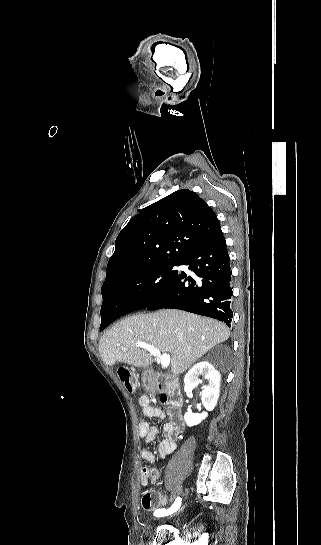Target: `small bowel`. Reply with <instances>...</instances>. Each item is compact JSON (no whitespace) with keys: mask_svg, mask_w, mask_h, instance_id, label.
Returning <instances> with one entry per match:
<instances>
[{"mask_svg":"<svg viewBox=\"0 0 321 545\" xmlns=\"http://www.w3.org/2000/svg\"><path fill=\"white\" fill-rule=\"evenodd\" d=\"M138 403L141 406L145 417L165 418L162 409L153 406L149 397L145 395L140 396ZM172 415L175 414L172 412ZM180 432L181 426L176 423H166L164 425L163 437L158 444V453L160 457H165L176 450L177 437ZM157 434L158 429L155 426L149 425L145 420H142L139 423V435L145 443L152 442ZM141 457L146 461V465L141 470V485L146 486L149 482L156 483L161 477V471L153 466L156 461L155 455L147 448H142Z\"/></svg>","mask_w":321,"mask_h":545,"instance_id":"1","label":"small bowel"}]
</instances>
